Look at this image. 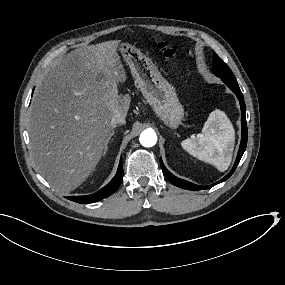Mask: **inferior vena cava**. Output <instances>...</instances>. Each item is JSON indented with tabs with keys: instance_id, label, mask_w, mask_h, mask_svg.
I'll use <instances>...</instances> for the list:
<instances>
[{
	"instance_id": "1",
	"label": "inferior vena cava",
	"mask_w": 285,
	"mask_h": 285,
	"mask_svg": "<svg viewBox=\"0 0 285 285\" xmlns=\"http://www.w3.org/2000/svg\"><path fill=\"white\" fill-rule=\"evenodd\" d=\"M125 123V117L120 112H115L111 119L112 126L115 127L116 125H121Z\"/></svg>"
}]
</instances>
